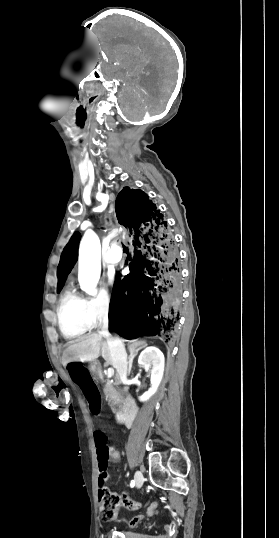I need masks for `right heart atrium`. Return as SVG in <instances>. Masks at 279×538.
<instances>
[{
    "label": "right heart atrium",
    "mask_w": 279,
    "mask_h": 538,
    "mask_svg": "<svg viewBox=\"0 0 279 538\" xmlns=\"http://www.w3.org/2000/svg\"><path fill=\"white\" fill-rule=\"evenodd\" d=\"M88 312L92 327L107 321L114 312V302L111 294L103 290L89 298Z\"/></svg>",
    "instance_id": "obj_1"
}]
</instances>
